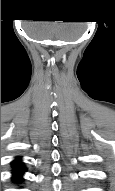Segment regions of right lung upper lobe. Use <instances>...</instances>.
Masks as SVG:
<instances>
[{
  "label": "right lung upper lobe",
  "instance_id": "obj_1",
  "mask_svg": "<svg viewBox=\"0 0 115 191\" xmlns=\"http://www.w3.org/2000/svg\"><path fill=\"white\" fill-rule=\"evenodd\" d=\"M22 164L23 163L21 162L20 157H17V159L12 162V167H14L15 170L16 169H25Z\"/></svg>",
  "mask_w": 115,
  "mask_h": 191
}]
</instances>
